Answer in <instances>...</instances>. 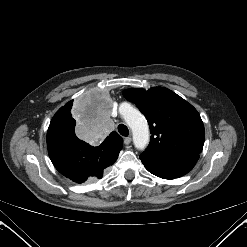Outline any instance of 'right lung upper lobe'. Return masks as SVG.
Listing matches in <instances>:
<instances>
[{
    "label": "right lung upper lobe",
    "mask_w": 247,
    "mask_h": 247,
    "mask_svg": "<svg viewBox=\"0 0 247 247\" xmlns=\"http://www.w3.org/2000/svg\"><path fill=\"white\" fill-rule=\"evenodd\" d=\"M73 104V100L69 101L64 107H61L56 114L54 115L50 126H57L56 125V119L64 114L65 112H67L68 110H70V108L72 107ZM122 143H123V139L116 133V132H112L102 143L103 145H107L109 147L112 148H117L119 150L122 149Z\"/></svg>",
    "instance_id": "cb5924a9"
}]
</instances>
